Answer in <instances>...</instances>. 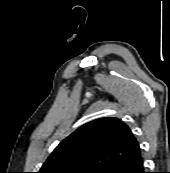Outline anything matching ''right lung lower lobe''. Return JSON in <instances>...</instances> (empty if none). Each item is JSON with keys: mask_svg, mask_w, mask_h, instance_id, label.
Returning <instances> with one entry per match:
<instances>
[{"mask_svg": "<svg viewBox=\"0 0 170 173\" xmlns=\"http://www.w3.org/2000/svg\"><path fill=\"white\" fill-rule=\"evenodd\" d=\"M102 173H146L144 171L141 151L130 158L112 165Z\"/></svg>", "mask_w": 170, "mask_h": 173, "instance_id": "1", "label": "right lung lower lobe"}]
</instances>
